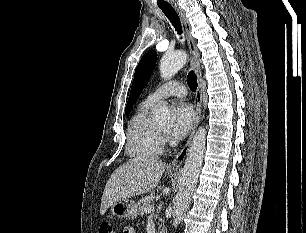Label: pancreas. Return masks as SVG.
Here are the masks:
<instances>
[{"mask_svg":"<svg viewBox=\"0 0 306 233\" xmlns=\"http://www.w3.org/2000/svg\"><path fill=\"white\" fill-rule=\"evenodd\" d=\"M154 199H155V195L153 193L141 198L137 203L138 212L141 215L146 214L148 212L147 211L148 207L153 204Z\"/></svg>","mask_w":306,"mask_h":233,"instance_id":"1","label":"pancreas"}]
</instances>
